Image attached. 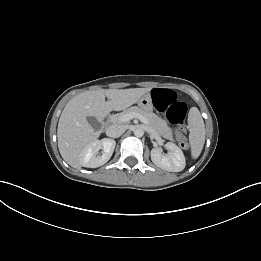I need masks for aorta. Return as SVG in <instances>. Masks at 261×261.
Listing matches in <instances>:
<instances>
[{
  "label": "aorta",
  "instance_id": "aorta-1",
  "mask_svg": "<svg viewBox=\"0 0 261 261\" xmlns=\"http://www.w3.org/2000/svg\"><path fill=\"white\" fill-rule=\"evenodd\" d=\"M143 134H144V132H143V130L140 129V128H137V129H135V131H134V135H135L136 137H142Z\"/></svg>",
  "mask_w": 261,
  "mask_h": 261
}]
</instances>
